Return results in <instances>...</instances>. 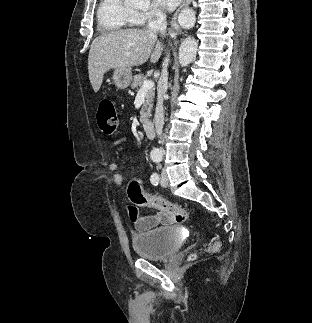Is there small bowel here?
I'll return each mask as SVG.
<instances>
[{
	"instance_id": "1",
	"label": "small bowel",
	"mask_w": 312,
	"mask_h": 323,
	"mask_svg": "<svg viewBox=\"0 0 312 323\" xmlns=\"http://www.w3.org/2000/svg\"><path fill=\"white\" fill-rule=\"evenodd\" d=\"M127 141V138L122 137L113 142L114 146H120ZM119 165L116 161L109 164V170L114 173V182L121 186L124 182V178L118 173ZM130 221L138 231H147L160 225H170L173 220L172 217L164 212H155L148 215L137 214V216H129Z\"/></svg>"
}]
</instances>
